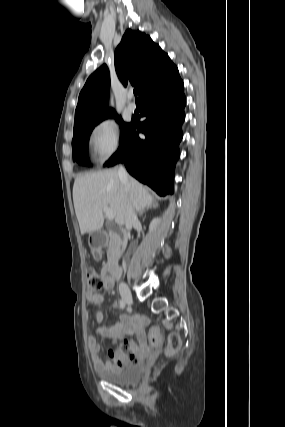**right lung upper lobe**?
<instances>
[{
    "label": "right lung upper lobe",
    "instance_id": "right-lung-upper-lobe-1",
    "mask_svg": "<svg viewBox=\"0 0 285 427\" xmlns=\"http://www.w3.org/2000/svg\"><path fill=\"white\" fill-rule=\"evenodd\" d=\"M114 62L120 81L124 86L128 82L137 86L139 96L151 82L175 66L149 36L131 29L126 30L117 46ZM109 87V70L104 64L89 76L79 94L74 129L115 113L107 109Z\"/></svg>",
    "mask_w": 285,
    "mask_h": 427
}]
</instances>
